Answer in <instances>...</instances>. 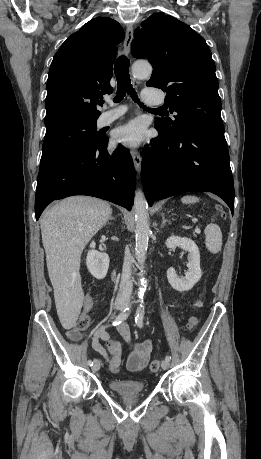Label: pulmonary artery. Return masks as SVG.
I'll return each mask as SVG.
<instances>
[{"label":"pulmonary artery","mask_w":261,"mask_h":459,"mask_svg":"<svg viewBox=\"0 0 261 459\" xmlns=\"http://www.w3.org/2000/svg\"><path fill=\"white\" fill-rule=\"evenodd\" d=\"M142 99L146 104L149 105H160L162 103V98L152 89H144L142 91ZM110 106H113L112 101H108ZM125 113V108L122 106H115L112 110L103 112L99 119L98 124L100 126H106L111 124L115 120L119 119Z\"/></svg>","instance_id":"e3ab8cb5"}]
</instances>
